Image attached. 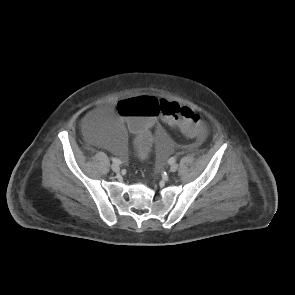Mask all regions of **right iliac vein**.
Segmentation results:
<instances>
[{
	"label": "right iliac vein",
	"instance_id": "63e3f726",
	"mask_svg": "<svg viewBox=\"0 0 295 295\" xmlns=\"http://www.w3.org/2000/svg\"><path fill=\"white\" fill-rule=\"evenodd\" d=\"M111 168H112V170H113L114 172H116V173H118V172L120 171V167H119V165L116 164V163H113V164L111 165Z\"/></svg>",
	"mask_w": 295,
	"mask_h": 295
}]
</instances>
